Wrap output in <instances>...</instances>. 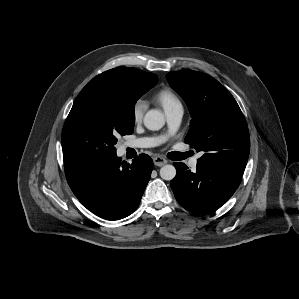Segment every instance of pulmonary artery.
I'll return each instance as SVG.
<instances>
[{
  "mask_svg": "<svg viewBox=\"0 0 299 299\" xmlns=\"http://www.w3.org/2000/svg\"><path fill=\"white\" fill-rule=\"evenodd\" d=\"M166 113V118L167 122L169 125V134H173L177 128L180 125L182 116H183V107L182 106H177L169 111L165 112ZM166 139V136H160V137H153V138H140L131 142H128L126 144L127 147L130 148H149V147H154L162 142H164ZM198 157L195 156L189 161V165L192 168H195L198 163Z\"/></svg>",
  "mask_w": 299,
  "mask_h": 299,
  "instance_id": "pulmonary-artery-1",
  "label": "pulmonary artery"
}]
</instances>
